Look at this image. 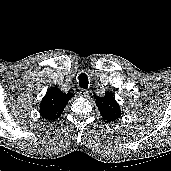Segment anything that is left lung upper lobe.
Returning a JSON list of instances; mask_svg holds the SVG:
<instances>
[{
	"instance_id": "5c2ea615",
	"label": "left lung upper lobe",
	"mask_w": 171,
	"mask_h": 171,
	"mask_svg": "<svg viewBox=\"0 0 171 171\" xmlns=\"http://www.w3.org/2000/svg\"><path fill=\"white\" fill-rule=\"evenodd\" d=\"M96 105L107 122H115L121 116L120 107L112 93L108 92L103 97H97Z\"/></svg>"
}]
</instances>
